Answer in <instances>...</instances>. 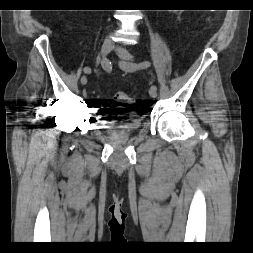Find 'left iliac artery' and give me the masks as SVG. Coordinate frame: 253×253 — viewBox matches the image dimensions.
I'll use <instances>...</instances> for the list:
<instances>
[{
  "label": "left iliac artery",
  "instance_id": "1",
  "mask_svg": "<svg viewBox=\"0 0 253 253\" xmlns=\"http://www.w3.org/2000/svg\"><path fill=\"white\" fill-rule=\"evenodd\" d=\"M125 67H127L130 71H135V70H140V69H145L148 68L150 66V62L149 61H143L141 63H131V64H124ZM152 87H155L157 89V87L154 85Z\"/></svg>",
  "mask_w": 253,
  "mask_h": 253
}]
</instances>
